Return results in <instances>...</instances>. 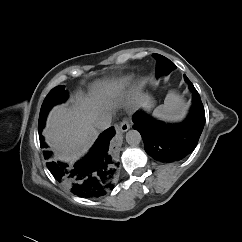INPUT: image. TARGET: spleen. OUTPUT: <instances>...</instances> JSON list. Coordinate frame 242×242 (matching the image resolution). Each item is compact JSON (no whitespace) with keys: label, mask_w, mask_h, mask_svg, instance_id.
<instances>
[{"label":"spleen","mask_w":242,"mask_h":242,"mask_svg":"<svg viewBox=\"0 0 242 242\" xmlns=\"http://www.w3.org/2000/svg\"><path fill=\"white\" fill-rule=\"evenodd\" d=\"M186 108L183 98L174 92H170L167 94L164 104L156 107L154 115L165 121L177 122L184 117Z\"/></svg>","instance_id":"3e777b00"}]
</instances>
